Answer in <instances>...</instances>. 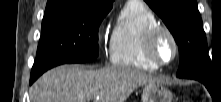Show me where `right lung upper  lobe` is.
Masks as SVG:
<instances>
[{"instance_id":"obj_1","label":"right lung upper lobe","mask_w":221,"mask_h":102,"mask_svg":"<svg viewBox=\"0 0 221 102\" xmlns=\"http://www.w3.org/2000/svg\"><path fill=\"white\" fill-rule=\"evenodd\" d=\"M112 2L113 0H48L45 12L76 7L106 9L112 8Z\"/></svg>"}]
</instances>
